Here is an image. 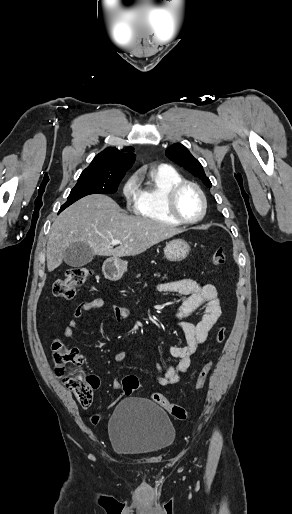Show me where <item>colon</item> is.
Wrapping results in <instances>:
<instances>
[{
	"mask_svg": "<svg viewBox=\"0 0 292 514\" xmlns=\"http://www.w3.org/2000/svg\"><path fill=\"white\" fill-rule=\"evenodd\" d=\"M226 262V251L224 247L218 246L214 249L211 256V264L214 267L224 265ZM92 272L89 267H72L65 271L64 275L58 278L53 284L54 296L62 301L70 300L76 290L89 280ZM227 335V326L221 325L216 328L214 343H222ZM51 352L54 362V374L64 381L66 388L73 394L77 403L81 407H89L93 403L94 391L99 387V378L89 374L81 367L85 361L83 353L67 346L61 340L55 339L51 344ZM212 363L206 360L199 371L195 388L201 390L210 375ZM139 388V379L135 375L125 376L122 380V389L127 396H131ZM151 399L156 402L169 415L185 419L187 411L185 408L169 401L159 392H153ZM92 422L98 420V416L90 417Z\"/></svg>",
	"mask_w": 292,
	"mask_h": 514,
	"instance_id": "5ec220e1",
	"label": "colon"
}]
</instances>
